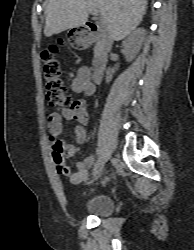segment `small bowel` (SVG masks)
<instances>
[{
	"mask_svg": "<svg viewBox=\"0 0 194 250\" xmlns=\"http://www.w3.org/2000/svg\"><path fill=\"white\" fill-rule=\"evenodd\" d=\"M71 87L74 92L82 94L85 97H90L94 94L95 84L91 79V72L88 67L84 66L78 70ZM71 120L78 122V125L74 129L75 144L66 143L59 138L63 130L64 121ZM88 121L89 113L87 105L85 100L81 99L71 108L51 113L47 122L49 136L52 141L53 160L56 170L60 175L67 176L73 184H79L87 180L89 170L93 163V158L88 156L77 163L75 171H71L65 163V158L76 155L79 151V147L85 142ZM65 168L67 169L66 171H64Z\"/></svg>",
	"mask_w": 194,
	"mask_h": 250,
	"instance_id": "small-bowel-1",
	"label": "small bowel"
}]
</instances>
